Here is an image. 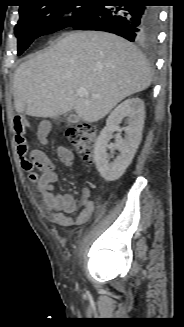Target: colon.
<instances>
[{"instance_id":"colon-1","label":"colon","mask_w":184,"mask_h":327,"mask_svg":"<svg viewBox=\"0 0 184 327\" xmlns=\"http://www.w3.org/2000/svg\"><path fill=\"white\" fill-rule=\"evenodd\" d=\"M25 121L21 118L14 120L13 129L17 151L20 156L26 154L28 146L24 137ZM97 129L90 123H80L71 127L66 131V138L70 144L78 151L85 160H89L92 156L93 148L97 139Z\"/></svg>"}]
</instances>
